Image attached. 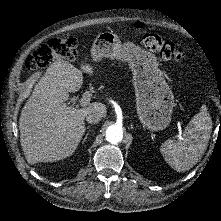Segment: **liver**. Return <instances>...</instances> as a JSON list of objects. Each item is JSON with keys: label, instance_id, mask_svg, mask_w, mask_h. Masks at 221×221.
I'll return each mask as SVG.
<instances>
[{"label": "liver", "instance_id": "liver-1", "mask_svg": "<svg viewBox=\"0 0 221 221\" xmlns=\"http://www.w3.org/2000/svg\"><path fill=\"white\" fill-rule=\"evenodd\" d=\"M82 82V72L64 60L53 61L38 80L19 117L20 142L28 163L69 156L85 131V115L92 111L106 114L102 103L79 110L62 107L67 91H77Z\"/></svg>", "mask_w": 221, "mask_h": 221}]
</instances>
